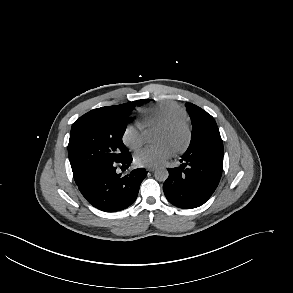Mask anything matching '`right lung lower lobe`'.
<instances>
[{
	"label": "right lung lower lobe",
	"mask_w": 293,
	"mask_h": 293,
	"mask_svg": "<svg viewBox=\"0 0 293 293\" xmlns=\"http://www.w3.org/2000/svg\"><path fill=\"white\" fill-rule=\"evenodd\" d=\"M132 162L131 154L119 162H111L94 169L76 182L86 200L99 210L115 212L129 207L137 198L139 187L147 172L143 168L121 176L116 166L127 167Z\"/></svg>",
	"instance_id": "98d812e1"
}]
</instances>
